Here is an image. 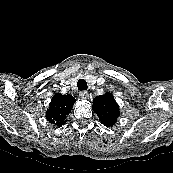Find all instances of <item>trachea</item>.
<instances>
[{
    "label": "trachea",
    "mask_w": 173,
    "mask_h": 173,
    "mask_svg": "<svg viewBox=\"0 0 173 173\" xmlns=\"http://www.w3.org/2000/svg\"><path fill=\"white\" fill-rule=\"evenodd\" d=\"M77 87L80 91L87 90V82L84 79H79L77 82Z\"/></svg>",
    "instance_id": "trachea-1"
}]
</instances>
